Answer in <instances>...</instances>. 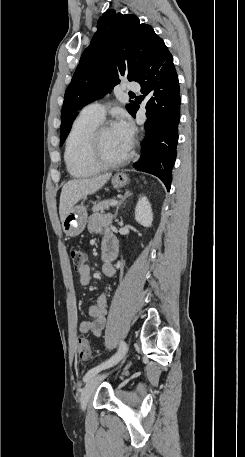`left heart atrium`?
Returning a JSON list of instances; mask_svg holds the SVG:
<instances>
[{
  "label": "left heart atrium",
  "mask_w": 245,
  "mask_h": 457,
  "mask_svg": "<svg viewBox=\"0 0 245 457\" xmlns=\"http://www.w3.org/2000/svg\"><path fill=\"white\" fill-rule=\"evenodd\" d=\"M114 129L128 146L131 145L133 140V125L128 117L124 115L120 116L115 123Z\"/></svg>",
  "instance_id": "obj_1"
}]
</instances>
